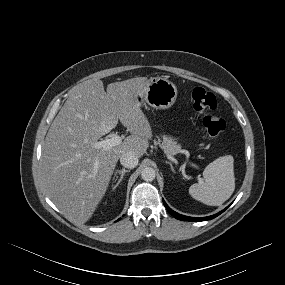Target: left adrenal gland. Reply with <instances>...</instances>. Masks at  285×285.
I'll list each match as a JSON object with an SVG mask.
<instances>
[{
	"label": "left adrenal gland",
	"instance_id": "1",
	"mask_svg": "<svg viewBox=\"0 0 285 285\" xmlns=\"http://www.w3.org/2000/svg\"><path fill=\"white\" fill-rule=\"evenodd\" d=\"M166 163H168L170 165L172 172L175 173V170H174V167H173L172 163L169 162V161H166Z\"/></svg>",
	"mask_w": 285,
	"mask_h": 285
}]
</instances>
